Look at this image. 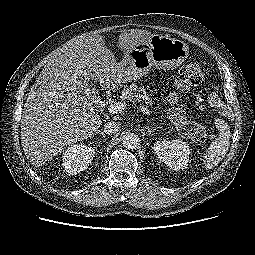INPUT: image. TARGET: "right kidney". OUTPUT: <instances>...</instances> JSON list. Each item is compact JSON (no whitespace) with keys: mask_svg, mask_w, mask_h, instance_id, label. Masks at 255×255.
I'll list each match as a JSON object with an SVG mask.
<instances>
[{"mask_svg":"<svg viewBox=\"0 0 255 255\" xmlns=\"http://www.w3.org/2000/svg\"><path fill=\"white\" fill-rule=\"evenodd\" d=\"M95 157L93 147L84 144H73L63 152V169L69 175H76L88 168Z\"/></svg>","mask_w":255,"mask_h":255,"instance_id":"1","label":"right kidney"}]
</instances>
